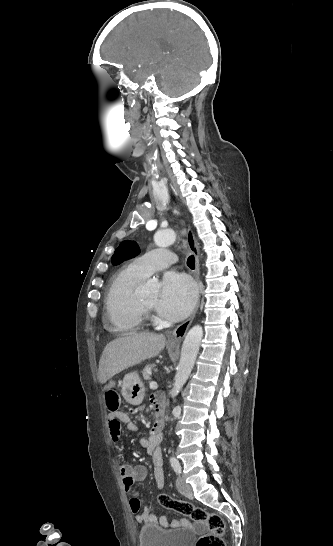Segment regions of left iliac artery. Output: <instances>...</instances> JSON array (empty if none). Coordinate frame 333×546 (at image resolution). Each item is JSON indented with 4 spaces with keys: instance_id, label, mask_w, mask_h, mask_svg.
Masks as SVG:
<instances>
[{
    "instance_id": "left-iliac-artery-1",
    "label": "left iliac artery",
    "mask_w": 333,
    "mask_h": 546,
    "mask_svg": "<svg viewBox=\"0 0 333 546\" xmlns=\"http://www.w3.org/2000/svg\"><path fill=\"white\" fill-rule=\"evenodd\" d=\"M170 463H171V466L173 467L174 471L177 474H180L181 473V465H180L179 461L175 457H171L170 458Z\"/></svg>"
}]
</instances>
